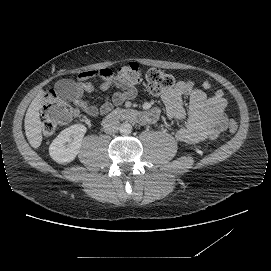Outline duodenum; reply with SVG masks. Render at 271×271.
<instances>
[{
    "mask_svg": "<svg viewBox=\"0 0 271 271\" xmlns=\"http://www.w3.org/2000/svg\"><path fill=\"white\" fill-rule=\"evenodd\" d=\"M117 120H126L132 122H140L144 120V115L131 109H118L108 114L104 120L103 125L105 129H110L113 123Z\"/></svg>",
    "mask_w": 271,
    "mask_h": 271,
    "instance_id": "obj_1",
    "label": "duodenum"
}]
</instances>
